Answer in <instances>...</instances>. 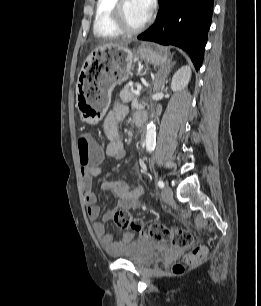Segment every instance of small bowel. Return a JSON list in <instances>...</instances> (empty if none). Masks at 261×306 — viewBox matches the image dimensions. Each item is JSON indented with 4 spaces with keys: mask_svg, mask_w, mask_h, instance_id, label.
<instances>
[{
    "mask_svg": "<svg viewBox=\"0 0 261 306\" xmlns=\"http://www.w3.org/2000/svg\"><path fill=\"white\" fill-rule=\"evenodd\" d=\"M128 114V107L125 104L116 103L109 111L102 123V130L108 140L104 149V156L121 160L125 157V149L120 136L119 126ZM102 158L97 163H92L82 167V187L84 198L87 205V212L90 220L93 222V230L101 245L113 254H120L130 249L135 243L132 242V235L125 234L121 241L116 242L112 236L106 234L105 223L112 219L115 210L106 212L102 221H98L100 216V207L97 203V196L93 190V178L99 176L103 168L101 166ZM139 165L136 166L138 170ZM136 187L132 188L130 183L124 180L104 181L102 189L115 194L119 198V208L136 210L140 206V197L143 193L139 185V179L135 180Z\"/></svg>",
    "mask_w": 261,
    "mask_h": 306,
    "instance_id": "obj_1",
    "label": "small bowel"
}]
</instances>
